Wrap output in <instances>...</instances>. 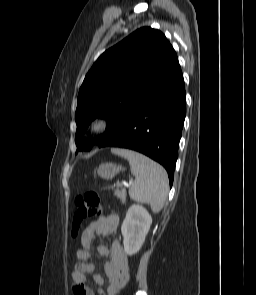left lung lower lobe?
<instances>
[{"instance_id": "obj_1", "label": "left lung lower lobe", "mask_w": 256, "mask_h": 295, "mask_svg": "<svg viewBox=\"0 0 256 295\" xmlns=\"http://www.w3.org/2000/svg\"><path fill=\"white\" fill-rule=\"evenodd\" d=\"M185 116L186 93L179 66L97 145L132 149L147 155L165 167L172 185Z\"/></svg>"}]
</instances>
